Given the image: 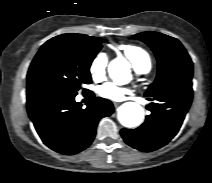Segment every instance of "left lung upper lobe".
<instances>
[{"label": "left lung upper lobe", "mask_w": 212, "mask_h": 183, "mask_svg": "<svg viewBox=\"0 0 212 183\" xmlns=\"http://www.w3.org/2000/svg\"><path fill=\"white\" fill-rule=\"evenodd\" d=\"M133 38L148 44L158 60L157 77L146 93L192 80L193 63L177 39L158 32L138 33Z\"/></svg>", "instance_id": "obj_1"}]
</instances>
